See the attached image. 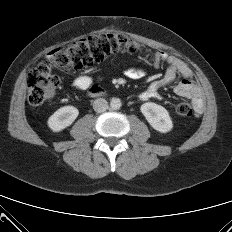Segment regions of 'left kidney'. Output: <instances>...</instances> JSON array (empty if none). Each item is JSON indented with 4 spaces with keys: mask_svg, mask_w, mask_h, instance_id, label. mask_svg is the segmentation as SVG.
Returning a JSON list of instances; mask_svg holds the SVG:
<instances>
[{
    "mask_svg": "<svg viewBox=\"0 0 232 232\" xmlns=\"http://www.w3.org/2000/svg\"><path fill=\"white\" fill-rule=\"evenodd\" d=\"M148 123L157 131L167 133L172 130L173 122L168 111L161 105L146 102L140 108Z\"/></svg>",
    "mask_w": 232,
    "mask_h": 232,
    "instance_id": "1",
    "label": "left kidney"
}]
</instances>
